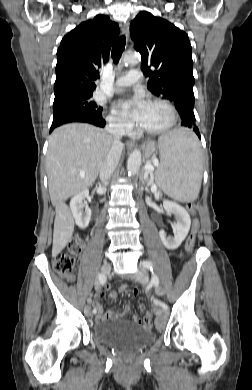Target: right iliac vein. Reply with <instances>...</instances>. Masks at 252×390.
<instances>
[{"label":"right iliac vein","instance_id":"63e3f726","mask_svg":"<svg viewBox=\"0 0 252 390\" xmlns=\"http://www.w3.org/2000/svg\"><path fill=\"white\" fill-rule=\"evenodd\" d=\"M110 270H111V265L109 263H104L101 267V272L104 273L105 275L109 274ZM84 312L88 317H92L93 315L91 306H86Z\"/></svg>","mask_w":252,"mask_h":390}]
</instances>
